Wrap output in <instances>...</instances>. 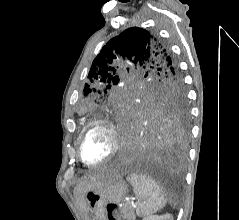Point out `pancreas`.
Returning <instances> with one entry per match:
<instances>
[{
  "label": "pancreas",
  "mask_w": 239,
  "mask_h": 220,
  "mask_svg": "<svg viewBox=\"0 0 239 220\" xmlns=\"http://www.w3.org/2000/svg\"><path fill=\"white\" fill-rule=\"evenodd\" d=\"M120 215L125 220H135L133 208L130 205L120 207Z\"/></svg>",
  "instance_id": "pancreas-1"
}]
</instances>
